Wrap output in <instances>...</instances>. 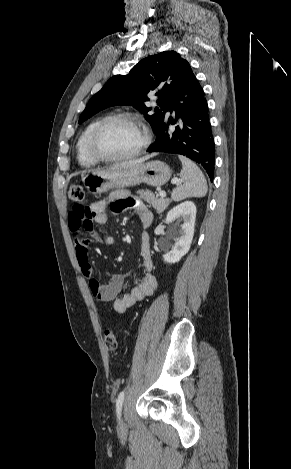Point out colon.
Here are the masks:
<instances>
[{
    "label": "colon",
    "instance_id": "obj_1",
    "mask_svg": "<svg viewBox=\"0 0 291 469\" xmlns=\"http://www.w3.org/2000/svg\"><path fill=\"white\" fill-rule=\"evenodd\" d=\"M85 192L81 185L74 184L70 187L69 190V199L76 203L74 207H76L77 211L81 213H85L87 208L81 205V202L84 200ZM104 344L106 349L110 353H115L118 347L117 336L114 331L107 329L104 333Z\"/></svg>",
    "mask_w": 291,
    "mask_h": 469
}]
</instances>
